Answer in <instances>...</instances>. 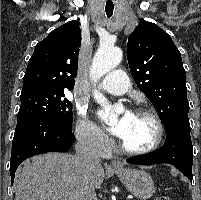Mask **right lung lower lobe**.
I'll use <instances>...</instances> for the list:
<instances>
[{
	"instance_id": "right-lung-lower-lobe-1",
	"label": "right lung lower lobe",
	"mask_w": 201,
	"mask_h": 200,
	"mask_svg": "<svg viewBox=\"0 0 201 200\" xmlns=\"http://www.w3.org/2000/svg\"><path fill=\"white\" fill-rule=\"evenodd\" d=\"M75 141L71 127L47 117L17 121L10 159L11 184L25 159L44 152H67Z\"/></svg>"
}]
</instances>
